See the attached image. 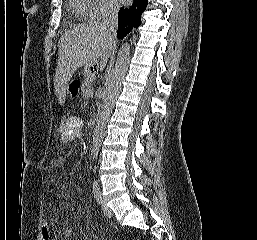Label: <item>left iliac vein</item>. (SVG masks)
<instances>
[{"instance_id": "left-iliac-vein-1", "label": "left iliac vein", "mask_w": 257, "mask_h": 240, "mask_svg": "<svg viewBox=\"0 0 257 240\" xmlns=\"http://www.w3.org/2000/svg\"><path fill=\"white\" fill-rule=\"evenodd\" d=\"M101 209L106 217L111 218L113 216L112 210L106 205L104 200H101Z\"/></svg>"}]
</instances>
